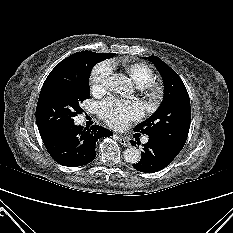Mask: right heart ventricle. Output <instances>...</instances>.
<instances>
[{
	"label": "right heart ventricle",
	"mask_w": 233,
	"mask_h": 233,
	"mask_svg": "<svg viewBox=\"0 0 233 233\" xmlns=\"http://www.w3.org/2000/svg\"><path fill=\"white\" fill-rule=\"evenodd\" d=\"M138 86H142L153 79V70L145 63L135 62L125 67Z\"/></svg>",
	"instance_id": "obj_1"
}]
</instances>
